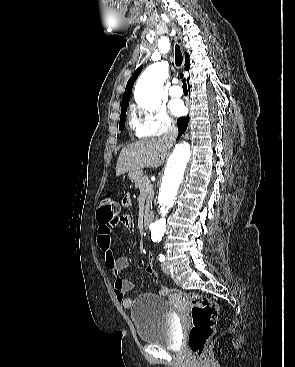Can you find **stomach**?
I'll use <instances>...</instances> for the list:
<instances>
[{
  "label": "stomach",
  "mask_w": 295,
  "mask_h": 367,
  "mask_svg": "<svg viewBox=\"0 0 295 367\" xmlns=\"http://www.w3.org/2000/svg\"><path fill=\"white\" fill-rule=\"evenodd\" d=\"M142 175H143L142 170L130 171L128 173L130 180L134 183L139 182L142 179Z\"/></svg>",
  "instance_id": "obj_1"
}]
</instances>
